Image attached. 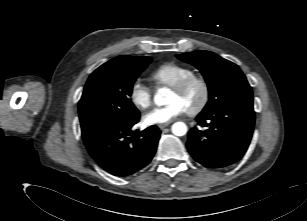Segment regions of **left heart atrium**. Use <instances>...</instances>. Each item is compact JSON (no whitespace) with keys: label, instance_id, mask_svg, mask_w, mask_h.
I'll list each match as a JSON object with an SVG mask.
<instances>
[{"label":"left heart atrium","instance_id":"39dd6f15","mask_svg":"<svg viewBox=\"0 0 307 221\" xmlns=\"http://www.w3.org/2000/svg\"><path fill=\"white\" fill-rule=\"evenodd\" d=\"M186 111L182 104L173 101L165 106L154 108L144 115L147 125H161L171 122Z\"/></svg>","mask_w":307,"mask_h":221}]
</instances>
